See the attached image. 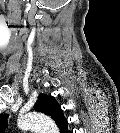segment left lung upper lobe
<instances>
[{"instance_id": "5c2ea615", "label": "left lung upper lobe", "mask_w": 120, "mask_h": 133, "mask_svg": "<svg viewBox=\"0 0 120 133\" xmlns=\"http://www.w3.org/2000/svg\"><path fill=\"white\" fill-rule=\"evenodd\" d=\"M34 109L38 112H42L51 116L59 127L67 125V120L63 117L61 108L51 96L40 95L36 104L34 105ZM6 118V115H2L1 117V127L3 128L2 131L6 127Z\"/></svg>"}]
</instances>
